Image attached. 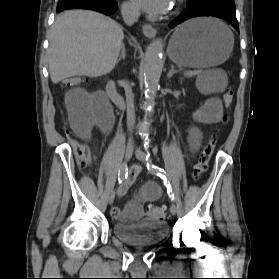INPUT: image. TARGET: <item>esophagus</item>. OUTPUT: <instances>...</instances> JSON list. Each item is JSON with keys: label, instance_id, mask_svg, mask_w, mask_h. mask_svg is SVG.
Segmentation results:
<instances>
[{"label": "esophagus", "instance_id": "obj_1", "mask_svg": "<svg viewBox=\"0 0 279 279\" xmlns=\"http://www.w3.org/2000/svg\"><path fill=\"white\" fill-rule=\"evenodd\" d=\"M142 31L143 34L148 37V38H153L155 37L157 31L154 27H152L150 24H144L142 26Z\"/></svg>", "mask_w": 279, "mask_h": 279}]
</instances>
